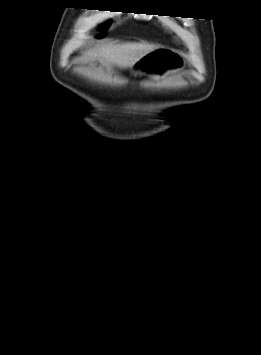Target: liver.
<instances>
[{
	"label": "liver",
	"instance_id": "6515ba94",
	"mask_svg": "<svg viewBox=\"0 0 261 355\" xmlns=\"http://www.w3.org/2000/svg\"><path fill=\"white\" fill-rule=\"evenodd\" d=\"M156 48H158L157 45L148 43H110L88 49L79 60L87 63L99 59L107 67L117 66L126 69L132 67L140 58Z\"/></svg>",
	"mask_w": 261,
	"mask_h": 355
}]
</instances>
